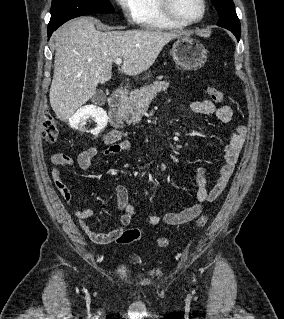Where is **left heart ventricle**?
I'll return each instance as SVG.
<instances>
[{
  "mask_svg": "<svg viewBox=\"0 0 284 319\" xmlns=\"http://www.w3.org/2000/svg\"><path fill=\"white\" fill-rule=\"evenodd\" d=\"M174 9L179 17L184 20H194L202 13L201 0H173Z\"/></svg>",
  "mask_w": 284,
  "mask_h": 319,
  "instance_id": "obj_1",
  "label": "left heart ventricle"
}]
</instances>
